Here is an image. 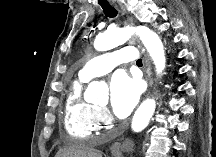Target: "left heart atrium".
Here are the masks:
<instances>
[{
	"instance_id": "obj_1",
	"label": "left heart atrium",
	"mask_w": 216,
	"mask_h": 157,
	"mask_svg": "<svg viewBox=\"0 0 216 157\" xmlns=\"http://www.w3.org/2000/svg\"><path fill=\"white\" fill-rule=\"evenodd\" d=\"M140 86L136 79L125 72L115 73L110 80V103L118 117L128 116L136 106Z\"/></svg>"
}]
</instances>
